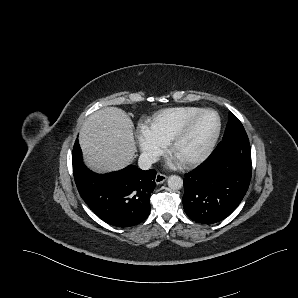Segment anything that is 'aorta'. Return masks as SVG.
Masks as SVG:
<instances>
[{
	"mask_svg": "<svg viewBox=\"0 0 298 298\" xmlns=\"http://www.w3.org/2000/svg\"><path fill=\"white\" fill-rule=\"evenodd\" d=\"M167 185L171 190H180L183 185V179L178 175H170L167 179Z\"/></svg>",
	"mask_w": 298,
	"mask_h": 298,
	"instance_id": "obj_1",
	"label": "aorta"
}]
</instances>
